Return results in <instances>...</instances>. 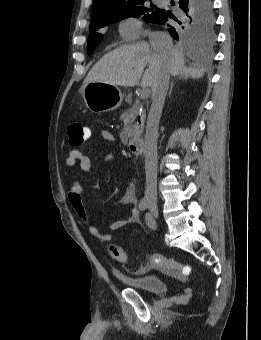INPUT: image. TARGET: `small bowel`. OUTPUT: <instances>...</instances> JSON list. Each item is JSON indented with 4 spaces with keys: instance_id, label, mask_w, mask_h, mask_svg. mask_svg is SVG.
<instances>
[{
    "instance_id": "c3829d8e",
    "label": "small bowel",
    "mask_w": 261,
    "mask_h": 340,
    "mask_svg": "<svg viewBox=\"0 0 261 340\" xmlns=\"http://www.w3.org/2000/svg\"><path fill=\"white\" fill-rule=\"evenodd\" d=\"M86 140L91 137L90 128L86 127ZM101 137L109 142L115 141L114 135L108 130H101ZM107 162H113V155L106 156ZM79 165L80 169L84 172L89 173L92 169L91 160L88 156L83 154L79 149H71L66 158V165L69 167H73L75 165ZM134 179L129 184V187L123 194L121 198V203L132 206L130 214L128 217L114 221L107 225L106 229L108 231H115L121 229L127 225L138 223L139 222V210L136 207L137 198L134 191ZM68 200L75 211L76 215L80 219L81 223L86 226L89 233L95 238L101 241H111L112 235L110 233H102L97 225L94 224L92 218L87 210L84 198H83V188L80 184H73L68 191ZM147 267L141 269V271L147 270Z\"/></svg>"
}]
</instances>
